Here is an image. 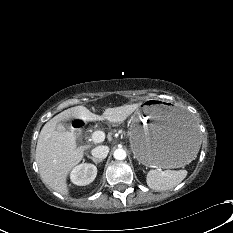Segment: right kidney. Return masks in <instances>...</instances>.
<instances>
[{
    "label": "right kidney",
    "mask_w": 233,
    "mask_h": 233,
    "mask_svg": "<svg viewBox=\"0 0 233 233\" xmlns=\"http://www.w3.org/2000/svg\"><path fill=\"white\" fill-rule=\"evenodd\" d=\"M97 175V168L93 164L82 163L71 172V181L79 186H85L93 182Z\"/></svg>",
    "instance_id": "1"
}]
</instances>
